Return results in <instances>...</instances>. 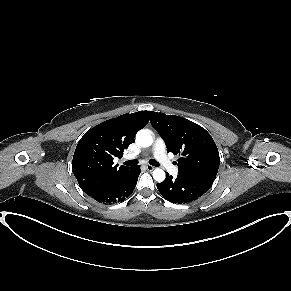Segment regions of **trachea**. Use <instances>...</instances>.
I'll list each match as a JSON object with an SVG mask.
<instances>
[{
    "instance_id": "3493384b",
    "label": "trachea",
    "mask_w": 291,
    "mask_h": 291,
    "mask_svg": "<svg viewBox=\"0 0 291 291\" xmlns=\"http://www.w3.org/2000/svg\"><path fill=\"white\" fill-rule=\"evenodd\" d=\"M124 164L127 166H135L138 164V161L137 160H128V161H125ZM149 164L152 166H159V163L153 159L149 160Z\"/></svg>"
}]
</instances>
